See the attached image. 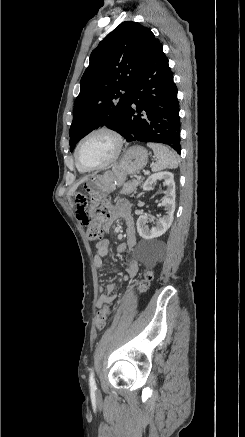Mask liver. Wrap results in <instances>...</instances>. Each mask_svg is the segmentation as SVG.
Returning a JSON list of instances; mask_svg holds the SVG:
<instances>
[{"mask_svg": "<svg viewBox=\"0 0 245 437\" xmlns=\"http://www.w3.org/2000/svg\"><path fill=\"white\" fill-rule=\"evenodd\" d=\"M87 179V177H85V178H83L82 180H80L78 183H76L72 188H71V190L69 191V201H70V203H71V207H73L74 206V203L72 202V199H71V197L75 194V191L77 190V188H78V186L81 184V183H83L85 180Z\"/></svg>", "mask_w": 245, "mask_h": 437, "instance_id": "obj_1", "label": "liver"}]
</instances>
